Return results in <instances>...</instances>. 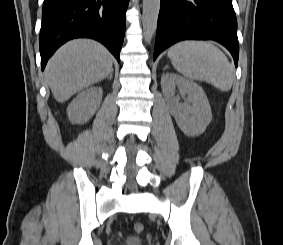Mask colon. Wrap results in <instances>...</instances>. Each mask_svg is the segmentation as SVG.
<instances>
[{
    "label": "colon",
    "instance_id": "1",
    "mask_svg": "<svg viewBox=\"0 0 283 245\" xmlns=\"http://www.w3.org/2000/svg\"><path fill=\"white\" fill-rule=\"evenodd\" d=\"M143 230H144V225L142 223H136L134 225V231L136 233H141V232H143Z\"/></svg>",
    "mask_w": 283,
    "mask_h": 245
}]
</instances>
